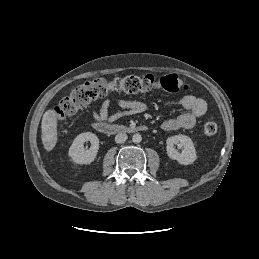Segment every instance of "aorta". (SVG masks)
I'll list each match as a JSON object with an SVG mask.
<instances>
[{
	"mask_svg": "<svg viewBox=\"0 0 259 259\" xmlns=\"http://www.w3.org/2000/svg\"><path fill=\"white\" fill-rule=\"evenodd\" d=\"M132 141L134 143H140L142 141V136L139 133H136L132 136Z\"/></svg>",
	"mask_w": 259,
	"mask_h": 259,
	"instance_id": "1",
	"label": "aorta"
}]
</instances>
